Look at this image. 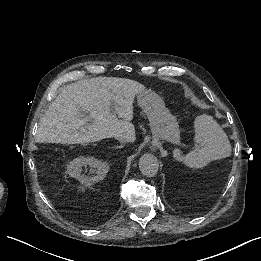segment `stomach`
<instances>
[{"mask_svg":"<svg viewBox=\"0 0 261 261\" xmlns=\"http://www.w3.org/2000/svg\"><path fill=\"white\" fill-rule=\"evenodd\" d=\"M137 101L148 117L153 137L177 143L180 137L179 125L176 117L165 107L162 98L146 89L137 94Z\"/></svg>","mask_w":261,"mask_h":261,"instance_id":"stomach-1","label":"stomach"}]
</instances>
